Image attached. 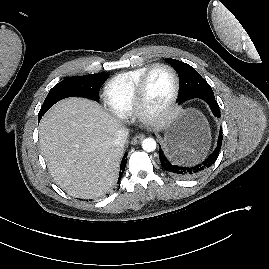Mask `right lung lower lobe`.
Listing matches in <instances>:
<instances>
[{"label":"right lung lower lobe","mask_w":269,"mask_h":269,"mask_svg":"<svg viewBox=\"0 0 269 269\" xmlns=\"http://www.w3.org/2000/svg\"><path fill=\"white\" fill-rule=\"evenodd\" d=\"M126 157H127V153L124 154L121 165H120V173H119V178H118V183L121 180V177L123 175V172L125 170V166H126Z\"/></svg>","instance_id":"98d812e1"}]
</instances>
